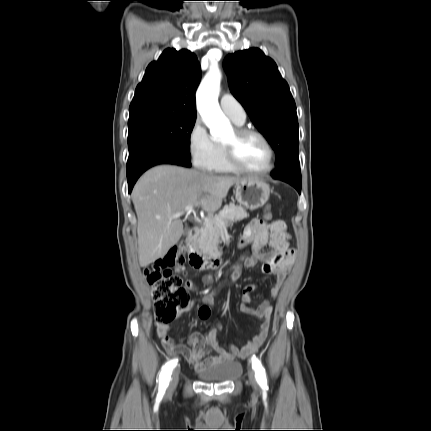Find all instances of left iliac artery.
<instances>
[{"label": "left iliac artery", "instance_id": "left-iliac-artery-1", "mask_svg": "<svg viewBox=\"0 0 431 431\" xmlns=\"http://www.w3.org/2000/svg\"><path fill=\"white\" fill-rule=\"evenodd\" d=\"M252 368L255 371L256 380H257L258 384L262 388H267V379H266L265 369L262 366L261 361L255 356L252 357Z\"/></svg>", "mask_w": 431, "mask_h": 431}]
</instances>
